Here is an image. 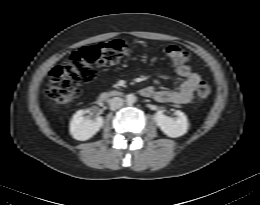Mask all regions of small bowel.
<instances>
[{"label":"small bowel","instance_id":"c3829d8e","mask_svg":"<svg viewBox=\"0 0 260 205\" xmlns=\"http://www.w3.org/2000/svg\"><path fill=\"white\" fill-rule=\"evenodd\" d=\"M176 77L181 80L176 90L155 89L147 86L141 89L140 94L143 97L152 98L159 103L186 105L192 100L193 92L200 81V76L192 70L189 65H180L177 67Z\"/></svg>","mask_w":260,"mask_h":205}]
</instances>
